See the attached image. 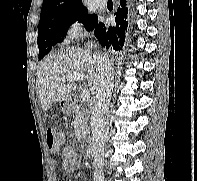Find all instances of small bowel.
I'll return each instance as SVG.
<instances>
[{
  "mask_svg": "<svg viewBox=\"0 0 197 181\" xmlns=\"http://www.w3.org/2000/svg\"><path fill=\"white\" fill-rule=\"evenodd\" d=\"M55 153V151H52ZM62 166L64 171L72 172L76 170L80 164V160L77 157L75 151L71 147H64L61 150ZM57 162L54 158L50 160V165L52 168L56 166Z\"/></svg>",
  "mask_w": 197,
  "mask_h": 181,
  "instance_id": "obj_1",
  "label": "small bowel"
}]
</instances>
